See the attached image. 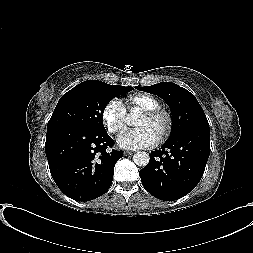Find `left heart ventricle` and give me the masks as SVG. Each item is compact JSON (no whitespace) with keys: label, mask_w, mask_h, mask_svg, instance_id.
<instances>
[{"label":"left heart ventricle","mask_w":253,"mask_h":253,"mask_svg":"<svg viewBox=\"0 0 253 253\" xmlns=\"http://www.w3.org/2000/svg\"><path fill=\"white\" fill-rule=\"evenodd\" d=\"M137 127L138 128H149L151 129L157 136H159L161 127H162V122L150 119L149 117L145 115H141L137 122Z\"/></svg>","instance_id":"b2bd125f"}]
</instances>
